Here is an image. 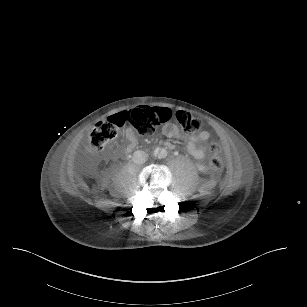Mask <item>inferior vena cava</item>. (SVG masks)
I'll list each match as a JSON object with an SVG mask.
<instances>
[{
  "mask_svg": "<svg viewBox=\"0 0 307 307\" xmlns=\"http://www.w3.org/2000/svg\"><path fill=\"white\" fill-rule=\"evenodd\" d=\"M148 153L142 150H137L133 153V161L136 164H144L148 160Z\"/></svg>",
  "mask_w": 307,
  "mask_h": 307,
  "instance_id": "inferior-vena-cava-1",
  "label": "inferior vena cava"
}]
</instances>
